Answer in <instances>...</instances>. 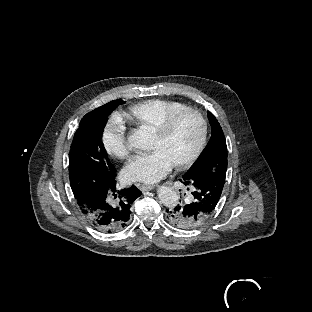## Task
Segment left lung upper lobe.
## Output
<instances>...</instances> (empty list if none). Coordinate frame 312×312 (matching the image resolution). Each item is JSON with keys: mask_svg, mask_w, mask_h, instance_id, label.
<instances>
[{"mask_svg": "<svg viewBox=\"0 0 312 312\" xmlns=\"http://www.w3.org/2000/svg\"><path fill=\"white\" fill-rule=\"evenodd\" d=\"M211 124V138L194 165L183 175V179L194 180L217 173H226L227 146L223 130L211 112H207Z\"/></svg>", "mask_w": 312, "mask_h": 312, "instance_id": "obj_1", "label": "left lung upper lobe"}]
</instances>
